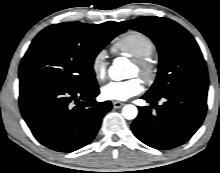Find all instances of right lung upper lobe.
<instances>
[{
  "label": "right lung upper lobe",
  "mask_w": 220,
  "mask_h": 173,
  "mask_svg": "<svg viewBox=\"0 0 220 173\" xmlns=\"http://www.w3.org/2000/svg\"><path fill=\"white\" fill-rule=\"evenodd\" d=\"M96 31H113L115 33H123L126 28L117 22H106L99 25H92Z\"/></svg>",
  "instance_id": "obj_1"
}]
</instances>
